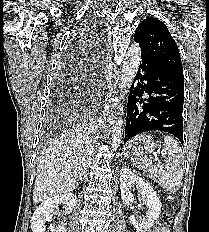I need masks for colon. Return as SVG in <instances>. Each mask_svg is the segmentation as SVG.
Instances as JSON below:
<instances>
[{
	"mask_svg": "<svg viewBox=\"0 0 209 232\" xmlns=\"http://www.w3.org/2000/svg\"><path fill=\"white\" fill-rule=\"evenodd\" d=\"M171 222V216L169 214H163L160 219H159V227L160 228H167V226L170 224Z\"/></svg>",
	"mask_w": 209,
	"mask_h": 232,
	"instance_id": "1",
	"label": "colon"
}]
</instances>
